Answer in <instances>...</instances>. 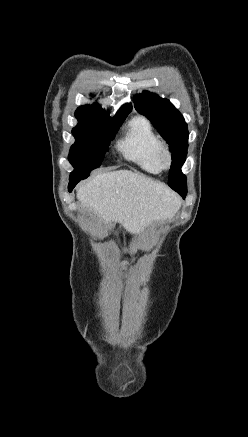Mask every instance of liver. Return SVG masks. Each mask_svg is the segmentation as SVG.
I'll return each mask as SVG.
<instances>
[{
    "instance_id": "1",
    "label": "liver",
    "mask_w": 248,
    "mask_h": 437,
    "mask_svg": "<svg viewBox=\"0 0 248 437\" xmlns=\"http://www.w3.org/2000/svg\"><path fill=\"white\" fill-rule=\"evenodd\" d=\"M77 198L104 223L118 222L136 234L154 221L171 218L180 205L168 186L130 170L96 175L80 186Z\"/></svg>"
}]
</instances>
